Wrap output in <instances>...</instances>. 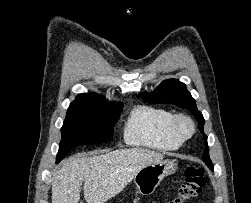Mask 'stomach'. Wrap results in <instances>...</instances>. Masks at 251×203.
Wrapping results in <instances>:
<instances>
[{
  "instance_id": "0dacf381",
  "label": "stomach",
  "mask_w": 251,
  "mask_h": 203,
  "mask_svg": "<svg viewBox=\"0 0 251 203\" xmlns=\"http://www.w3.org/2000/svg\"><path fill=\"white\" fill-rule=\"evenodd\" d=\"M176 168L175 160L170 159L145 166L134 177L138 192L143 195L153 193L162 179L175 173Z\"/></svg>"
}]
</instances>
